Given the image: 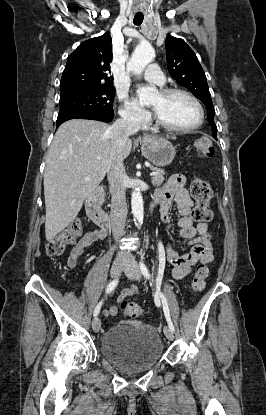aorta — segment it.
Here are the masks:
<instances>
[{"mask_svg":"<svg viewBox=\"0 0 266 415\" xmlns=\"http://www.w3.org/2000/svg\"><path fill=\"white\" fill-rule=\"evenodd\" d=\"M155 51L149 43L138 45L132 53L127 64V69L135 75H141L145 67L154 59ZM139 101L145 105L149 104L156 94L155 87H140L137 90ZM131 207L136 225L140 227L143 223L144 207L143 198L139 189H135L131 196Z\"/></svg>","mask_w":266,"mask_h":415,"instance_id":"aorta-1","label":"aorta"}]
</instances>
